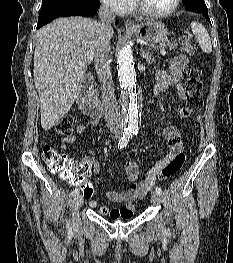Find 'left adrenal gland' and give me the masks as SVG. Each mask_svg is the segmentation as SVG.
<instances>
[{"label": "left adrenal gland", "mask_w": 233, "mask_h": 263, "mask_svg": "<svg viewBox=\"0 0 233 263\" xmlns=\"http://www.w3.org/2000/svg\"><path fill=\"white\" fill-rule=\"evenodd\" d=\"M141 56L142 58H144L149 64L154 62V57L152 58V55L147 52L146 50H144L143 48H141Z\"/></svg>", "instance_id": "left-adrenal-gland-1"}]
</instances>
